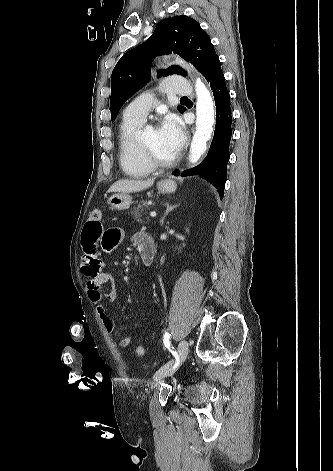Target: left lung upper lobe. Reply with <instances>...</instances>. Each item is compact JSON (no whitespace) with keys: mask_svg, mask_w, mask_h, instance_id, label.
<instances>
[{"mask_svg":"<svg viewBox=\"0 0 333 471\" xmlns=\"http://www.w3.org/2000/svg\"><path fill=\"white\" fill-rule=\"evenodd\" d=\"M179 54L202 73L204 65L215 52L207 33L194 19L181 15L160 21L152 36L143 44L125 53L116 64L111 76V120L114 121L125 101L150 80V62L153 56ZM186 76L180 66H170L160 75ZM159 75V76H160ZM180 112L186 110L178 106Z\"/></svg>","mask_w":333,"mask_h":471,"instance_id":"5c2ea615","label":"left lung upper lobe"}]
</instances>
